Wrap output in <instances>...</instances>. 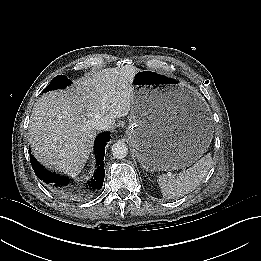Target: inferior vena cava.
<instances>
[{
  "mask_svg": "<svg viewBox=\"0 0 261 261\" xmlns=\"http://www.w3.org/2000/svg\"><path fill=\"white\" fill-rule=\"evenodd\" d=\"M91 126L94 130H106L109 128V120L101 114H96L91 120Z\"/></svg>",
  "mask_w": 261,
  "mask_h": 261,
  "instance_id": "inferior-vena-cava-1",
  "label": "inferior vena cava"
}]
</instances>
